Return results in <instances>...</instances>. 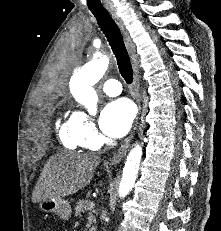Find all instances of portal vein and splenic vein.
<instances>
[{
    "mask_svg": "<svg viewBox=\"0 0 221 231\" xmlns=\"http://www.w3.org/2000/svg\"><path fill=\"white\" fill-rule=\"evenodd\" d=\"M95 204L93 202L88 203V209H93Z\"/></svg>",
    "mask_w": 221,
    "mask_h": 231,
    "instance_id": "18ae733b",
    "label": "portal vein and splenic vein"
}]
</instances>
